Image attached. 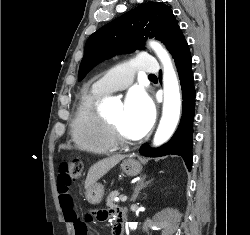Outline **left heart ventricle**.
<instances>
[{"label": "left heart ventricle", "instance_id": "obj_1", "mask_svg": "<svg viewBox=\"0 0 250 235\" xmlns=\"http://www.w3.org/2000/svg\"><path fill=\"white\" fill-rule=\"evenodd\" d=\"M108 119L118 125L122 133L129 139H135L136 137L129 131L128 127L125 124L124 119V108L121 107L113 114L108 116Z\"/></svg>", "mask_w": 250, "mask_h": 235}]
</instances>
